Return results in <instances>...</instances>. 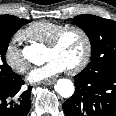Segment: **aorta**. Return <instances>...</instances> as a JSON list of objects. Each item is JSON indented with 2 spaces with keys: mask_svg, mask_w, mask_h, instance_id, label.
Returning <instances> with one entry per match:
<instances>
[{
  "mask_svg": "<svg viewBox=\"0 0 116 116\" xmlns=\"http://www.w3.org/2000/svg\"><path fill=\"white\" fill-rule=\"evenodd\" d=\"M23 56L29 62L36 65L41 64L43 61L40 50L36 45L26 47L23 50ZM55 90L60 96L64 98H69L74 93V84L69 79H59L55 85Z\"/></svg>",
  "mask_w": 116,
  "mask_h": 116,
  "instance_id": "762f6f07",
  "label": "aorta"
}]
</instances>
